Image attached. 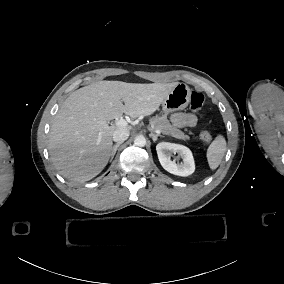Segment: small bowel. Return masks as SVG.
<instances>
[{
    "instance_id": "1",
    "label": "small bowel",
    "mask_w": 284,
    "mask_h": 284,
    "mask_svg": "<svg viewBox=\"0 0 284 284\" xmlns=\"http://www.w3.org/2000/svg\"><path fill=\"white\" fill-rule=\"evenodd\" d=\"M170 120L179 128L195 127L198 123L197 117L192 113H174L171 115Z\"/></svg>"
}]
</instances>
